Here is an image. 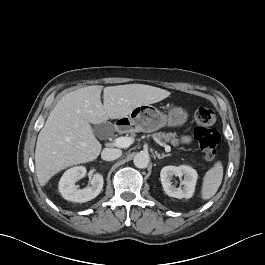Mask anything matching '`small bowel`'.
<instances>
[{"label":"small bowel","mask_w":265,"mask_h":265,"mask_svg":"<svg viewBox=\"0 0 265 265\" xmlns=\"http://www.w3.org/2000/svg\"><path fill=\"white\" fill-rule=\"evenodd\" d=\"M189 141H190V137H188V136H184L182 138V142H184V143H188Z\"/></svg>","instance_id":"c3829d8e"}]
</instances>
